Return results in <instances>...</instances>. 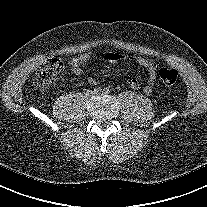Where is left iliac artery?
<instances>
[{
    "label": "left iliac artery",
    "instance_id": "left-iliac-artery-1",
    "mask_svg": "<svg viewBox=\"0 0 207 207\" xmlns=\"http://www.w3.org/2000/svg\"><path fill=\"white\" fill-rule=\"evenodd\" d=\"M103 93H104V94H108V93H110V89H109V88H107V87H106V88H104V89H103Z\"/></svg>",
    "mask_w": 207,
    "mask_h": 207
}]
</instances>
